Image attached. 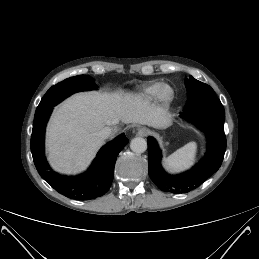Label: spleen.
I'll list each match as a JSON object with an SVG mask.
<instances>
[{"label": "spleen", "mask_w": 259, "mask_h": 259, "mask_svg": "<svg viewBox=\"0 0 259 259\" xmlns=\"http://www.w3.org/2000/svg\"><path fill=\"white\" fill-rule=\"evenodd\" d=\"M197 144L189 142L165 159L166 168L173 171L189 169L196 158Z\"/></svg>", "instance_id": "1"}]
</instances>
